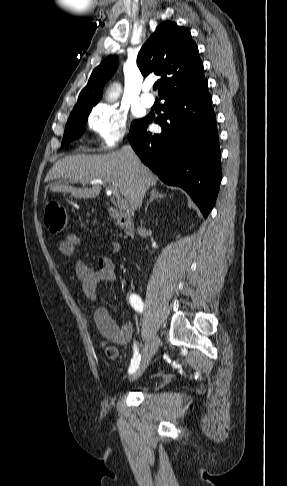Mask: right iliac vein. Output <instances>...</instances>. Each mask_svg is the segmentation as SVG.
<instances>
[{
  "mask_svg": "<svg viewBox=\"0 0 287 486\" xmlns=\"http://www.w3.org/2000/svg\"><path fill=\"white\" fill-rule=\"evenodd\" d=\"M158 345H159L158 337L156 335H152L146 343V346H145V349H144V352H143V358H142L141 366H140L139 370L132 377V380H136L137 378H139L142 375L144 370L147 368L150 360L155 355V353L158 349Z\"/></svg>",
  "mask_w": 287,
  "mask_h": 486,
  "instance_id": "right-iliac-vein-1",
  "label": "right iliac vein"
}]
</instances>
